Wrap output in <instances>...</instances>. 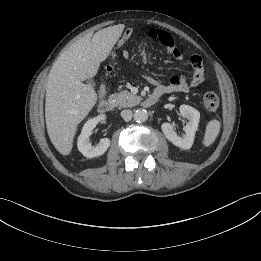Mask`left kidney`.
Returning a JSON list of instances; mask_svg holds the SVG:
<instances>
[{"instance_id": "left-kidney-1", "label": "left kidney", "mask_w": 261, "mask_h": 261, "mask_svg": "<svg viewBox=\"0 0 261 261\" xmlns=\"http://www.w3.org/2000/svg\"><path fill=\"white\" fill-rule=\"evenodd\" d=\"M180 114L182 117L188 119V123L184 127V135L180 137L174 131L172 124L163 123L161 125V129L165 135V137L172 142L175 146L180 147L182 149H190L193 145L195 133L198 129V124L200 120V113L195 108L189 105H181L179 107Z\"/></svg>"}]
</instances>
